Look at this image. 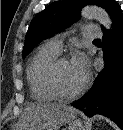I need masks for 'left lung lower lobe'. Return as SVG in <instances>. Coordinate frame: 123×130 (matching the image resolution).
<instances>
[{"label": "left lung lower lobe", "mask_w": 123, "mask_h": 130, "mask_svg": "<svg viewBox=\"0 0 123 130\" xmlns=\"http://www.w3.org/2000/svg\"><path fill=\"white\" fill-rule=\"evenodd\" d=\"M104 69L85 96L71 105L87 116L101 114L123 130V13L112 20V30L103 29Z\"/></svg>", "instance_id": "left-lung-lower-lobe-1"}]
</instances>
